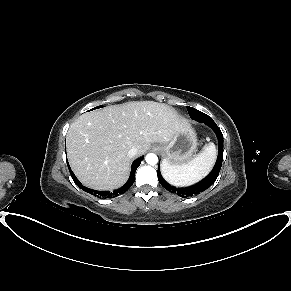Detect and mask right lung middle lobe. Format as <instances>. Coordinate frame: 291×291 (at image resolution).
I'll use <instances>...</instances> for the list:
<instances>
[{"label":"right lung middle lobe","instance_id":"dd1d6c3e","mask_svg":"<svg viewBox=\"0 0 291 291\" xmlns=\"http://www.w3.org/2000/svg\"><path fill=\"white\" fill-rule=\"evenodd\" d=\"M100 107H102V106H97V107H95V108H93V109H97V108H100ZM93 109H91V110H93Z\"/></svg>","mask_w":291,"mask_h":291}]
</instances>
